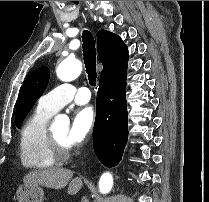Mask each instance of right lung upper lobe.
I'll return each instance as SVG.
<instances>
[{"label":"right lung upper lobe","mask_w":209,"mask_h":202,"mask_svg":"<svg viewBox=\"0 0 209 202\" xmlns=\"http://www.w3.org/2000/svg\"><path fill=\"white\" fill-rule=\"evenodd\" d=\"M97 51L103 64L99 84L108 87L126 83L128 48L121 38L109 31L99 30Z\"/></svg>","instance_id":"1"}]
</instances>
